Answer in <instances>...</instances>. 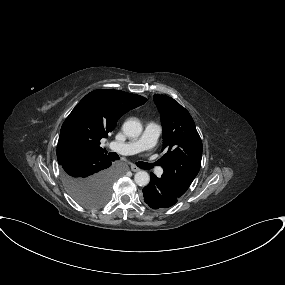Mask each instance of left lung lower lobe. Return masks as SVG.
I'll list each match as a JSON object with an SVG mask.
<instances>
[{"instance_id":"1","label":"left lung lower lobe","mask_w":285,"mask_h":285,"mask_svg":"<svg viewBox=\"0 0 285 285\" xmlns=\"http://www.w3.org/2000/svg\"><path fill=\"white\" fill-rule=\"evenodd\" d=\"M142 191L145 203L153 209L173 206L186 192L169 176L163 174L161 178H157L153 173H151L150 183Z\"/></svg>"}]
</instances>
